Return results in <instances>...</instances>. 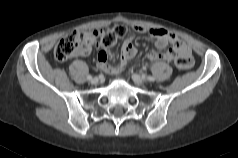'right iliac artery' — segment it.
Wrapping results in <instances>:
<instances>
[{
  "label": "right iliac artery",
  "mask_w": 238,
  "mask_h": 158,
  "mask_svg": "<svg viewBox=\"0 0 238 158\" xmlns=\"http://www.w3.org/2000/svg\"><path fill=\"white\" fill-rule=\"evenodd\" d=\"M87 79H88V80H91V79H92V76H91V75H88V76H87Z\"/></svg>",
  "instance_id": "82829eb1"
}]
</instances>
